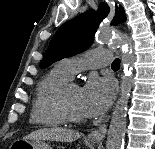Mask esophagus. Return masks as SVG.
Returning <instances> with one entry per match:
<instances>
[{"instance_id": "34e87169", "label": "esophagus", "mask_w": 155, "mask_h": 149, "mask_svg": "<svg viewBox=\"0 0 155 149\" xmlns=\"http://www.w3.org/2000/svg\"><path fill=\"white\" fill-rule=\"evenodd\" d=\"M106 132H107V125L106 124L101 125L98 129L90 132L88 134L87 139L91 142H101L104 139Z\"/></svg>"}]
</instances>
